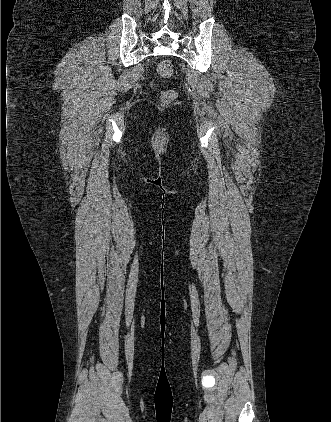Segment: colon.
I'll list each match as a JSON object with an SVG mask.
<instances>
[{
	"label": "colon",
	"mask_w": 331,
	"mask_h": 422,
	"mask_svg": "<svg viewBox=\"0 0 331 422\" xmlns=\"http://www.w3.org/2000/svg\"><path fill=\"white\" fill-rule=\"evenodd\" d=\"M157 72L164 79L171 77L173 73L172 64L167 60L160 61L157 65ZM175 98L176 93L172 90H163L160 95V100L163 104H170Z\"/></svg>",
	"instance_id": "1"
}]
</instances>
